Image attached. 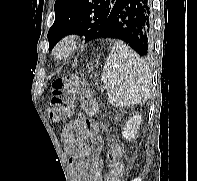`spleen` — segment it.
I'll use <instances>...</instances> for the list:
<instances>
[{
	"mask_svg": "<svg viewBox=\"0 0 197 181\" xmlns=\"http://www.w3.org/2000/svg\"><path fill=\"white\" fill-rule=\"evenodd\" d=\"M101 80L110 104L132 106L151 95V75L144 61L126 44L115 41L104 64Z\"/></svg>",
	"mask_w": 197,
	"mask_h": 181,
	"instance_id": "1",
	"label": "spleen"
}]
</instances>
